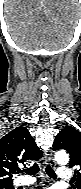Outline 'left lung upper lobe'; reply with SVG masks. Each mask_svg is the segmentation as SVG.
Wrapping results in <instances>:
<instances>
[{
    "mask_svg": "<svg viewBox=\"0 0 81 189\" xmlns=\"http://www.w3.org/2000/svg\"><path fill=\"white\" fill-rule=\"evenodd\" d=\"M64 149L70 154L69 167H75L74 189H81V132L68 126L58 133L53 143V150Z\"/></svg>",
    "mask_w": 81,
    "mask_h": 189,
    "instance_id": "obj_1",
    "label": "left lung upper lobe"
}]
</instances>
